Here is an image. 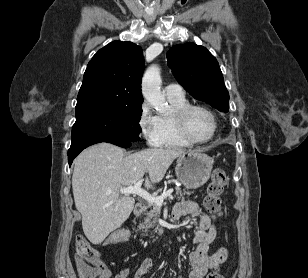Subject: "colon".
<instances>
[{
	"label": "colon",
	"mask_w": 308,
	"mask_h": 278,
	"mask_svg": "<svg viewBox=\"0 0 308 278\" xmlns=\"http://www.w3.org/2000/svg\"><path fill=\"white\" fill-rule=\"evenodd\" d=\"M227 181L228 176L224 170L215 169L213 171L204 198V206L213 216L221 213V196L227 185ZM128 235V228L123 226L121 230H116L110 236V241L113 243L126 242ZM75 250L80 278H99L102 267L99 250L81 235L76 238ZM207 278H223L220 268L218 266L214 267Z\"/></svg>",
	"instance_id": "obj_1"
}]
</instances>
